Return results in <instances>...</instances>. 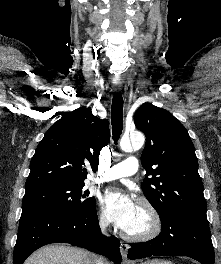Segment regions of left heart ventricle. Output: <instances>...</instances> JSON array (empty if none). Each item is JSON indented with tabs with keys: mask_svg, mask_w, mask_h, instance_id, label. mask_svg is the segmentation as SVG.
<instances>
[{
	"mask_svg": "<svg viewBox=\"0 0 221 264\" xmlns=\"http://www.w3.org/2000/svg\"><path fill=\"white\" fill-rule=\"evenodd\" d=\"M148 224L149 220L147 214L142 208L138 207L135 218L126 231L131 233L142 232L148 227Z\"/></svg>",
	"mask_w": 221,
	"mask_h": 264,
	"instance_id": "1",
	"label": "left heart ventricle"
}]
</instances>
